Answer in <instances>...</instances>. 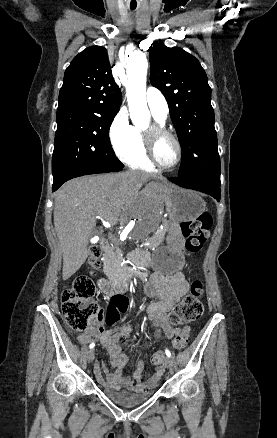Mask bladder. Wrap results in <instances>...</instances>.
<instances>
[{
  "label": "bladder",
  "instance_id": "bladder-1",
  "mask_svg": "<svg viewBox=\"0 0 277 438\" xmlns=\"http://www.w3.org/2000/svg\"><path fill=\"white\" fill-rule=\"evenodd\" d=\"M104 396L112 403L121 407H136L144 404L153 394V390L130 391L120 390L118 388L103 389Z\"/></svg>",
  "mask_w": 277,
  "mask_h": 438
}]
</instances>
